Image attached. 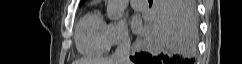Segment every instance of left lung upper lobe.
Wrapping results in <instances>:
<instances>
[{
  "mask_svg": "<svg viewBox=\"0 0 242 64\" xmlns=\"http://www.w3.org/2000/svg\"><path fill=\"white\" fill-rule=\"evenodd\" d=\"M85 0H81V4L84 2Z\"/></svg>",
  "mask_w": 242,
  "mask_h": 64,
  "instance_id": "1",
  "label": "left lung upper lobe"
}]
</instances>
